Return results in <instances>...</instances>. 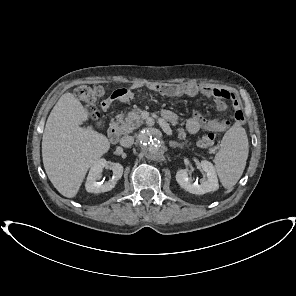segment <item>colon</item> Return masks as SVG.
I'll return each instance as SVG.
<instances>
[{"mask_svg": "<svg viewBox=\"0 0 296 296\" xmlns=\"http://www.w3.org/2000/svg\"><path fill=\"white\" fill-rule=\"evenodd\" d=\"M115 92H120V90ZM104 94L105 88L100 85H83L76 90L77 98L81 101L87 113L95 120L98 119L97 101ZM215 141L216 135L214 133H207L200 138L199 144L202 147L208 148L212 147Z\"/></svg>", "mask_w": 296, "mask_h": 296, "instance_id": "obj_1", "label": "colon"}]
</instances>
